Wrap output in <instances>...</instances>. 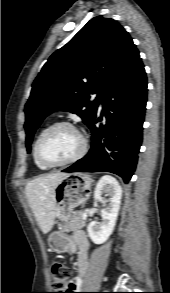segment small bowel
<instances>
[{"label": "small bowel", "mask_w": 170, "mask_h": 293, "mask_svg": "<svg viewBox=\"0 0 170 293\" xmlns=\"http://www.w3.org/2000/svg\"><path fill=\"white\" fill-rule=\"evenodd\" d=\"M88 249L89 243L83 232H76L69 235V252L77 251V271L84 274L88 270Z\"/></svg>", "instance_id": "small-bowel-1"}]
</instances>
